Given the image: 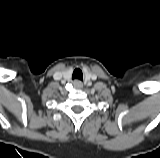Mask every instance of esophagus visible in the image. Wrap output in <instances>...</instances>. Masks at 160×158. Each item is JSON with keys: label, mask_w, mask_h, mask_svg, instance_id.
<instances>
[{"label": "esophagus", "mask_w": 160, "mask_h": 158, "mask_svg": "<svg viewBox=\"0 0 160 158\" xmlns=\"http://www.w3.org/2000/svg\"><path fill=\"white\" fill-rule=\"evenodd\" d=\"M73 86L77 89H80V88H82L83 84L80 80H74Z\"/></svg>", "instance_id": "1"}]
</instances>
